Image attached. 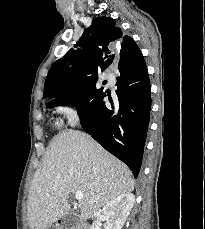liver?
I'll return each mask as SVG.
<instances>
[{"instance_id": "1", "label": "liver", "mask_w": 205, "mask_h": 229, "mask_svg": "<svg viewBox=\"0 0 205 229\" xmlns=\"http://www.w3.org/2000/svg\"><path fill=\"white\" fill-rule=\"evenodd\" d=\"M134 190L128 167L84 132L55 136L35 172L27 202L31 229H48L68 213L69 195L81 191V218L86 220L114 198Z\"/></svg>"}]
</instances>
